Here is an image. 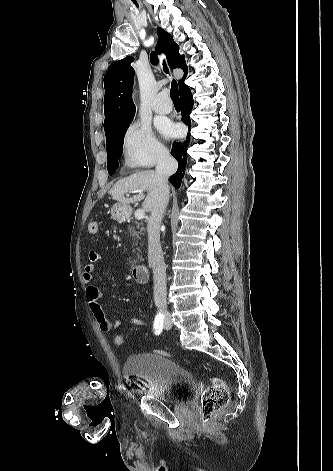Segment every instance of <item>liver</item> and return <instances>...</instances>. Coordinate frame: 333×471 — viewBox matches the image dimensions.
<instances>
[{"label": "liver", "mask_w": 333, "mask_h": 471, "mask_svg": "<svg viewBox=\"0 0 333 471\" xmlns=\"http://www.w3.org/2000/svg\"><path fill=\"white\" fill-rule=\"evenodd\" d=\"M148 191L147 196L143 192ZM128 192H137L130 198L125 197ZM109 194L112 199L121 204L128 205L144 199L142 207L146 212H150L159 196V183L156 171L145 170L136 172L128 177L120 179L110 189Z\"/></svg>", "instance_id": "liver-1"}]
</instances>
